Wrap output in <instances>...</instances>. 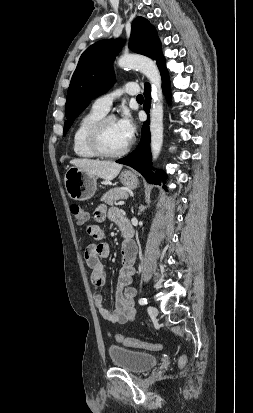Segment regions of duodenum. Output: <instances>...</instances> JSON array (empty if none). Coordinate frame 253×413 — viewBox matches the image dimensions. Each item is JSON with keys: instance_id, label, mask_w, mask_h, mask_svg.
<instances>
[{"instance_id": "duodenum-1", "label": "duodenum", "mask_w": 253, "mask_h": 413, "mask_svg": "<svg viewBox=\"0 0 253 413\" xmlns=\"http://www.w3.org/2000/svg\"><path fill=\"white\" fill-rule=\"evenodd\" d=\"M121 231H122V235H123L124 240L127 243L132 242L133 230H132V227H131V225L129 224V222L127 220L122 223Z\"/></svg>"}]
</instances>
